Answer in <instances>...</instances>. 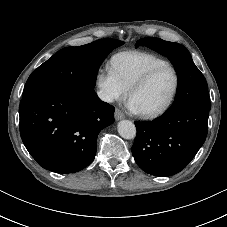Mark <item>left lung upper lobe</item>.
Instances as JSON below:
<instances>
[{
	"instance_id": "5c2ea615",
	"label": "left lung upper lobe",
	"mask_w": 227,
	"mask_h": 227,
	"mask_svg": "<svg viewBox=\"0 0 227 227\" xmlns=\"http://www.w3.org/2000/svg\"><path fill=\"white\" fill-rule=\"evenodd\" d=\"M140 45L148 46L168 57L178 73L179 83L176 98L172 106L166 111L185 107L210 110L207 82L183 45L154 37L138 40L136 47Z\"/></svg>"
}]
</instances>
